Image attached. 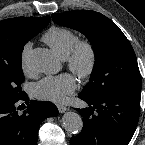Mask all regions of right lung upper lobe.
I'll return each mask as SVG.
<instances>
[{
  "mask_svg": "<svg viewBox=\"0 0 145 145\" xmlns=\"http://www.w3.org/2000/svg\"><path fill=\"white\" fill-rule=\"evenodd\" d=\"M50 17H16L0 21V62H8L18 54L14 40L28 28L48 24Z\"/></svg>",
  "mask_w": 145,
  "mask_h": 145,
  "instance_id": "cb5924a9",
  "label": "right lung upper lobe"
}]
</instances>
